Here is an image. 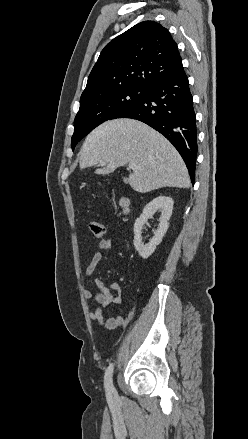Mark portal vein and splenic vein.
<instances>
[{
  "instance_id": "portal-vein-and-splenic-vein-1",
  "label": "portal vein and splenic vein",
  "mask_w": 248,
  "mask_h": 439,
  "mask_svg": "<svg viewBox=\"0 0 248 439\" xmlns=\"http://www.w3.org/2000/svg\"><path fill=\"white\" fill-rule=\"evenodd\" d=\"M100 165H101V166H104L105 163H104V162H101ZM129 168H130V169H133V170L139 169V167L137 166V164H136V163H133V162L129 163Z\"/></svg>"
}]
</instances>
